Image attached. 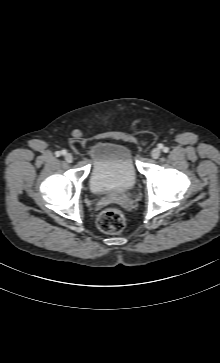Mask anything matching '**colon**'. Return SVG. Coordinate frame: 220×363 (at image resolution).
Here are the masks:
<instances>
[{
	"label": "colon",
	"mask_w": 220,
	"mask_h": 363,
	"mask_svg": "<svg viewBox=\"0 0 220 363\" xmlns=\"http://www.w3.org/2000/svg\"><path fill=\"white\" fill-rule=\"evenodd\" d=\"M125 224L123 213L115 208L103 210L97 218L98 227L105 233H119L124 229Z\"/></svg>",
	"instance_id": "colon-1"
}]
</instances>
